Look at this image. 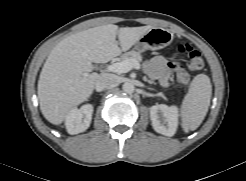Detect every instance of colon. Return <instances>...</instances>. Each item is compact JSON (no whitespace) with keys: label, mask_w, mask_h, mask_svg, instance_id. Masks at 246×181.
<instances>
[{"label":"colon","mask_w":246,"mask_h":181,"mask_svg":"<svg viewBox=\"0 0 246 181\" xmlns=\"http://www.w3.org/2000/svg\"><path fill=\"white\" fill-rule=\"evenodd\" d=\"M170 51H176L187 56L188 65L192 70H202L204 61L201 53L188 43L178 42ZM177 81L181 85H187L190 82V75L186 69L180 68L177 74Z\"/></svg>","instance_id":"colon-1"}]
</instances>
